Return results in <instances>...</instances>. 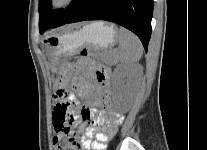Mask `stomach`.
Here are the masks:
<instances>
[{"instance_id":"1","label":"stomach","mask_w":207,"mask_h":150,"mask_svg":"<svg viewBox=\"0 0 207 150\" xmlns=\"http://www.w3.org/2000/svg\"><path fill=\"white\" fill-rule=\"evenodd\" d=\"M116 38V26L104 21L66 26L58 32H50L44 38V42L48 46L52 73L58 78L62 73V67L56 61L55 56H73L83 46H87L92 52H104L113 46Z\"/></svg>"}]
</instances>
